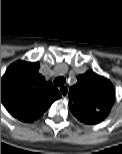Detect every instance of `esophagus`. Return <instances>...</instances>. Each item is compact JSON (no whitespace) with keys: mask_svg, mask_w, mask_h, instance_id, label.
<instances>
[{"mask_svg":"<svg viewBox=\"0 0 122 154\" xmlns=\"http://www.w3.org/2000/svg\"><path fill=\"white\" fill-rule=\"evenodd\" d=\"M59 91H60V93H61V95L63 97H67L68 96L69 89H68L67 86L59 87Z\"/></svg>","mask_w":122,"mask_h":154,"instance_id":"34e87169","label":"esophagus"}]
</instances>
